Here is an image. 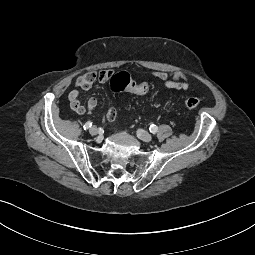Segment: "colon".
Masks as SVG:
<instances>
[{
	"label": "colon",
	"mask_w": 255,
	"mask_h": 255,
	"mask_svg": "<svg viewBox=\"0 0 255 255\" xmlns=\"http://www.w3.org/2000/svg\"><path fill=\"white\" fill-rule=\"evenodd\" d=\"M110 90L113 93H119L125 90H131L136 94H146L150 90V85L146 82L137 83L133 81L126 72L115 74L110 80ZM184 106L190 110H195L200 105V100L196 97H187L184 99Z\"/></svg>",
	"instance_id": "1"
}]
</instances>
